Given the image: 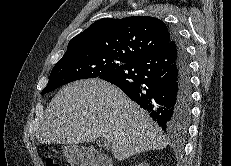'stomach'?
I'll return each mask as SVG.
<instances>
[{
    "label": "stomach",
    "mask_w": 231,
    "mask_h": 166,
    "mask_svg": "<svg viewBox=\"0 0 231 166\" xmlns=\"http://www.w3.org/2000/svg\"><path fill=\"white\" fill-rule=\"evenodd\" d=\"M62 153L67 160L83 166L87 161V153L83 147L77 145H66L62 147Z\"/></svg>",
    "instance_id": "obj_1"
}]
</instances>
